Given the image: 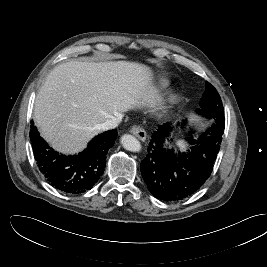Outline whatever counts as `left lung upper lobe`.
Wrapping results in <instances>:
<instances>
[{
	"instance_id": "1",
	"label": "left lung upper lobe",
	"mask_w": 267,
	"mask_h": 267,
	"mask_svg": "<svg viewBox=\"0 0 267 267\" xmlns=\"http://www.w3.org/2000/svg\"><path fill=\"white\" fill-rule=\"evenodd\" d=\"M200 107L201 109L197 110L199 114L214 118L217 124L224 123V109L221 98L209 82H206V89L200 100Z\"/></svg>"
}]
</instances>
